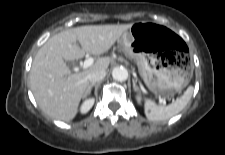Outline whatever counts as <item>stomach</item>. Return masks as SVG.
<instances>
[{
	"label": "stomach",
	"mask_w": 225,
	"mask_h": 155,
	"mask_svg": "<svg viewBox=\"0 0 225 155\" xmlns=\"http://www.w3.org/2000/svg\"><path fill=\"white\" fill-rule=\"evenodd\" d=\"M124 49L136 60L150 91L169 94L189 83V68L178 36L169 28L151 22L134 23L122 35Z\"/></svg>",
	"instance_id": "obj_1"
}]
</instances>
